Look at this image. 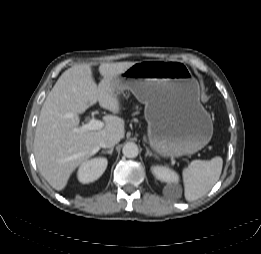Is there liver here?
Wrapping results in <instances>:
<instances>
[{"instance_id":"liver-1","label":"liver","mask_w":261,"mask_h":254,"mask_svg":"<svg viewBox=\"0 0 261 254\" xmlns=\"http://www.w3.org/2000/svg\"><path fill=\"white\" fill-rule=\"evenodd\" d=\"M135 62L102 63L98 70L99 86L89 64H78L59 77L46 97L35 131L34 155L38 169L57 191L65 188L72 172L100 149L107 135H125V121L116 115L103 117L104 127L76 132L79 114L99 102L102 108L119 113L118 94L112 88L117 76Z\"/></svg>"}]
</instances>
